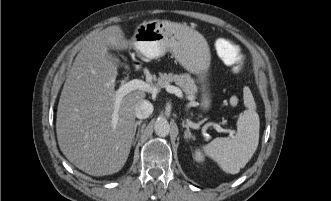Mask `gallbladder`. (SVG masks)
<instances>
[{
  "label": "gallbladder",
  "instance_id": "1",
  "mask_svg": "<svg viewBox=\"0 0 331 201\" xmlns=\"http://www.w3.org/2000/svg\"><path fill=\"white\" fill-rule=\"evenodd\" d=\"M107 55L111 58V60H112L113 62H115L116 64L120 65V61H119V59L116 57L115 54H112L111 52H108Z\"/></svg>",
  "mask_w": 331,
  "mask_h": 201
}]
</instances>
